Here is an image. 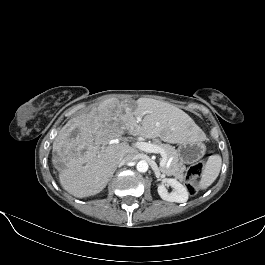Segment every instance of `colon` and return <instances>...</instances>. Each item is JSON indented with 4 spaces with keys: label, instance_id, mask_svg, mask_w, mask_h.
<instances>
[{
    "label": "colon",
    "instance_id": "5ec220e1",
    "mask_svg": "<svg viewBox=\"0 0 265 265\" xmlns=\"http://www.w3.org/2000/svg\"><path fill=\"white\" fill-rule=\"evenodd\" d=\"M203 163L199 162L190 166L186 172V185L190 194H195L197 191L198 178L202 172Z\"/></svg>",
    "mask_w": 265,
    "mask_h": 265
}]
</instances>
